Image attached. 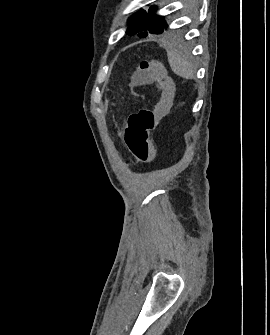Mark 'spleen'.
Instances as JSON below:
<instances>
[{"label": "spleen", "mask_w": 270, "mask_h": 335, "mask_svg": "<svg viewBox=\"0 0 270 335\" xmlns=\"http://www.w3.org/2000/svg\"><path fill=\"white\" fill-rule=\"evenodd\" d=\"M168 62L170 68L174 74L186 78V80H192L194 78L195 68L191 62H189L186 54L182 52L181 46L174 44L168 54Z\"/></svg>", "instance_id": "spleen-1"}]
</instances>
